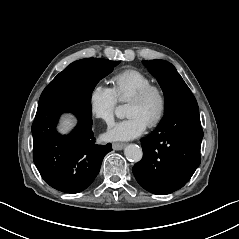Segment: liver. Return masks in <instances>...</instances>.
Here are the masks:
<instances>
[{
  "instance_id": "liver-1",
  "label": "liver",
  "mask_w": 239,
  "mask_h": 239,
  "mask_svg": "<svg viewBox=\"0 0 239 239\" xmlns=\"http://www.w3.org/2000/svg\"><path fill=\"white\" fill-rule=\"evenodd\" d=\"M76 124V120L72 115H63L60 120V125L57 127L62 134L67 133Z\"/></svg>"
}]
</instances>
